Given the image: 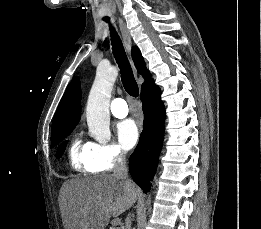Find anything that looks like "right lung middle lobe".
I'll use <instances>...</instances> for the list:
<instances>
[{"label":"right lung middle lobe","mask_w":261,"mask_h":229,"mask_svg":"<svg viewBox=\"0 0 261 229\" xmlns=\"http://www.w3.org/2000/svg\"><path fill=\"white\" fill-rule=\"evenodd\" d=\"M77 124H64L52 128V139L56 141V144L65 139L75 128ZM67 141L62 142L57 150L56 158H60L64 153ZM56 144L54 146H56ZM52 146V147H54Z\"/></svg>","instance_id":"right-lung-middle-lobe-1"}]
</instances>
